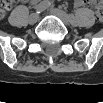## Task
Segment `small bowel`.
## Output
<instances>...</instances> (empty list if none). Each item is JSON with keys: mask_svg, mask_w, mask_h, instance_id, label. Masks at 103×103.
<instances>
[{"mask_svg": "<svg viewBox=\"0 0 103 103\" xmlns=\"http://www.w3.org/2000/svg\"><path fill=\"white\" fill-rule=\"evenodd\" d=\"M85 5H86V2L82 1V0H78L75 2V7H77V8L84 7ZM11 6H12V2L7 7L6 11L4 13H2V15H4L11 8Z\"/></svg>", "mask_w": 103, "mask_h": 103, "instance_id": "1", "label": "small bowel"}]
</instances>
